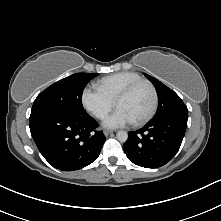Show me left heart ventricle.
<instances>
[{"instance_id": "1", "label": "left heart ventricle", "mask_w": 221, "mask_h": 221, "mask_svg": "<svg viewBox=\"0 0 221 221\" xmlns=\"http://www.w3.org/2000/svg\"><path fill=\"white\" fill-rule=\"evenodd\" d=\"M153 93L149 85L143 84L133 93L118 104V108L124 110L132 121L143 118L151 109Z\"/></svg>"}]
</instances>
